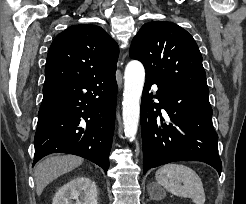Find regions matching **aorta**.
<instances>
[{"label":"aorta","mask_w":246,"mask_h":204,"mask_svg":"<svg viewBox=\"0 0 246 204\" xmlns=\"http://www.w3.org/2000/svg\"><path fill=\"white\" fill-rule=\"evenodd\" d=\"M145 81V70L141 62L130 61L124 73L123 125L130 141L135 139L140 117V98Z\"/></svg>","instance_id":"aorta-1"}]
</instances>
